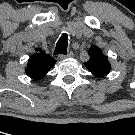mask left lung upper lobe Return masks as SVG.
<instances>
[{
	"label": "left lung upper lobe",
	"mask_w": 135,
	"mask_h": 135,
	"mask_svg": "<svg viewBox=\"0 0 135 135\" xmlns=\"http://www.w3.org/2000/svg\"><path fill=\"white\" fill-rule=\"evenodd\" d=\"M88 54L90 59L85 63L88 70L96 77H105L111 70V65L99 47L92 45Z\"/></svg>",
	"instance_id": "left-lung-upper-lobe-1"
}]
</instances>
